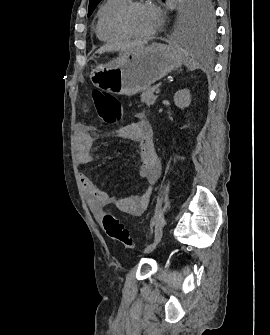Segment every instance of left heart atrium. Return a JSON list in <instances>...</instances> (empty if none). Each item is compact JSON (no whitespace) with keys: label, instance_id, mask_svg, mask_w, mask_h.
<instances>
[{"label":"left heart atrium","instance_id":"39dd6f15","mask_svg":"<svg viewBox=\"0 0 270 335\" xmlns=\"http://www.w3.org/2000/svg\"><path fill=\"white\" fill-rule=\"evenodd\" d=\"M143 10L148 21L147 32L151 33L162 24V15L157 8L150 5L143 7Z\"/></svg>","mask_w":270,"mask_h":335}]
</instances>
